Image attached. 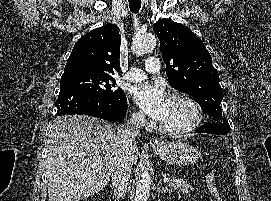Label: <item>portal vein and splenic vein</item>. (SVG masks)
Wrapping results in <instances>:
<instances>
[{
  "label": "portal vein and splenic vein",
  "mask_w": 271,
  "mask_h": 201,
  "mask_svg": "<svg viewBox=\"0 0 271 201\" xmlns=\"http://www.w3.org/2000/svg\"><path fill=\"white\" fill-rule=\"evenodd\" d=\"M163 182H164V183L170 182V178H164V179H163Z\"/></svg>",
  "instance_id": "obj_1"
}]
</instances>
